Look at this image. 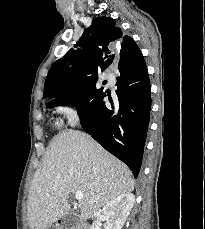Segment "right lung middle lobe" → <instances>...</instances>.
<instances>
[{
    "label": "right lung middle lobe",
    "instance_id": "obj_1",
    "mask_svg": "<svg viewBox=\"0 0 205 229\" xmlns=\"http://www.w3.org/2000/svg\"><path fill=\"white\" fill-rule=\"evenodd\" d=\"M97 81V80H96ZM96 81H94L91 84H84L79 86L75 91H73L71 94L60 97L61 102H70L71 100L78 98L80 96L86 95L89 93L91 90L96 88Z\"/></svg>",
    "mask_w": 205,
    "mask_h": 229
}]
</instances>
